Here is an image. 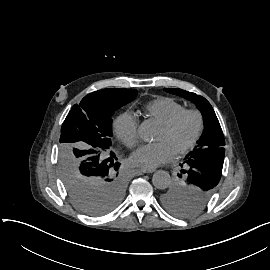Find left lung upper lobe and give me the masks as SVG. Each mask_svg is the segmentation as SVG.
I'll return each mask as SVG.
<instances>
[{"label": "left lung upper lobe", "instance_id": "obj_1", "mask_svg": "<svg viewBox=\"0 0 270 270\" xmlns=\"http://www.w3.org/2000/svg\"><path fill=\"white\" fill-rule=\"evenodd\" d=\"M197 106L203 115L204 130L194 150L184 158L178 179L160 195L170 213L189 218L204 211L217 189L222 174L225 145L220 123L211 104L202 96L182 89L164 88Z\"/></svg>", "mask_w": 270, "mask_h": 270}]
</instances>
